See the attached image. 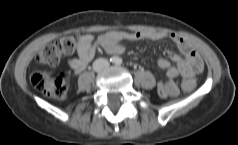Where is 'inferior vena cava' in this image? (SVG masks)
I'll use <instances>...</instances> for the list:
<instances>
[{"instance_id":"1","label":"inferior vena cava","mask_w":238,"mask_h":145,"mask_svg":"<svg viewBox=\"0 0 238 145\" xmlns=\"http://www.w3.org/2000/svg\"><path fill=\"white\" fill-rule=\"evenodd\" d=\"M109 66V62L108 60L104 59V58H98L93 62V69L96 72H100L103 69L107 68Z\"/></svg>"}]
</instances>
